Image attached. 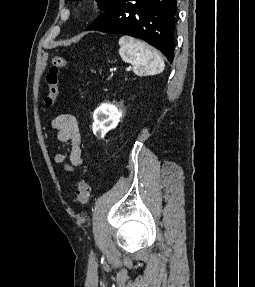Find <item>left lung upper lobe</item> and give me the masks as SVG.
<instances>
[{
  "instance_id": "obj_1",
  "label": "left lung upper lobe",
  "mask_w": 255,
  "mask_h": 287,
  "mask_svg": "<svg viewBox=\"0 0 255 287\" xmlns=\"http://www.w3.org/2000/svg\"><path fill=\"white\" fill-rule=\"evenodd\" d=\"M101 9H106L114 0H98Z\"/></svg>"
}]
</instances>
